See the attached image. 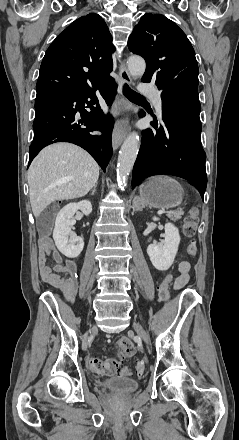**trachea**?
<instances>
[{"label":"trachea","mask_w":239,"mask_h":440,"mask_svg":"<svg viewBox=\"0 0 239 440\" xmlns=\"http://www.w3.org/2000/svg\"><path fill=\"white\" fill-rule=\"evenodd\" d=\"M123 94L131 101L138 103V101H145L144 97L137 92H134L127 84H124L122 88Z\"/></svg>","instance_id":"1"}]
</instances>
